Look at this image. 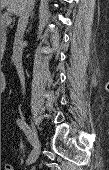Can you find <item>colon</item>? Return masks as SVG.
I'll return each instance as SVG.
<instances>
[{
    "label": "colon",
    "mask_w": 109,
    "mask_h": 170,
    "mask_svg": "<svg viewBox=\"0 0 109 170\" xmlns=\"http://www.w3.org/2000/svg\"><path fill=\"white\" fill-rule=\"evenodd\" d=\"M6 170H14V168L11 167V166H9V165H7V166H6Z\"/></svg>",
    "instance_id": "obj_1"
}]
</instances>
